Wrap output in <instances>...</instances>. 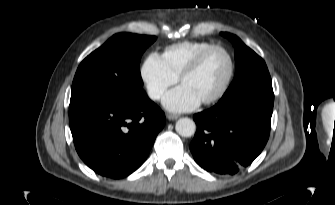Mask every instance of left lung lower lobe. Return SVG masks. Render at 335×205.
Wrapping results in <instances>:
<instances>
[{
  "mask_svg": "<svg viewBox=\"0 0 335 205\" xmlns=\"http://www.w3.org/2000/svg\"><path fill=\"white\" fill-rule=\"evenodd\" d=\"M272 112L273 100L242 94L195 114V161L209 172L231 175L250 165L268 141Z\"/></svg>",
  "mask_w": 335,
  "mask_h": 205,
  "instance_id": "left-lung-lower-lobe-1",
  "label": "left lung lower lobe"
}]
</instances>
